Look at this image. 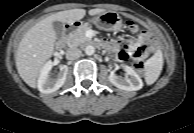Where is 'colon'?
<instances>
[{
	"label": "colon",
	"mask_w": 194,
	"mask_h": 133,
	"mask_svg": "<svg viewBox=\"0 0 194 133\" xmlns=\"http://www.w3.org/2000/svg\"><path fill=\"white\" fill-rule=\"evenodd\" d=\"M127 25L131 31L135 32L138 30V26L134 21L129 20L127 22ZM134 66H135V69L137 70L138 73L143 72V63H142L141 59H136L134 62Z\"/></svg>",
	"instance_id": "1"
}]
</instances>
